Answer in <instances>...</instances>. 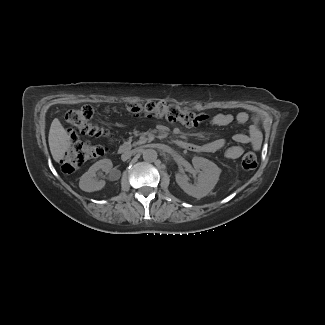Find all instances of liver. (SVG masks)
<instances>
[{
	"label": "liver",
	"mask_w": 325,
	"mask_h": 325,
	"mask_svg": "<svg viewBox=\"0 0 325 325\" xmlns=\"http://www.w3.org/2000/svg\"><path fill=\"white\" fill-rule=\"evenodd\" d=\"M48 142L52 157L56 162L64 158L65 152L68 151L72 145L70 136L58 118H55L51 123Z\"/></svg>",
	"instance_id": "liver-1"
}]
</instances>
